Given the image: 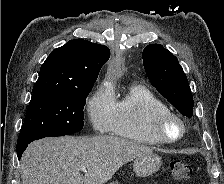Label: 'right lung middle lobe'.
<instances>
[{
  "instance_id": "obj_1",
  "label": "right lung middle lobe",
  "mask_w": 224,
  "mask_h": 184,
  "mask_svg": "<svg viewBox=\"0 0 224 184\" xmlns=\"http://www.w3.org/2000/svg\"><path fill=\"white\" fill-rule=\"evenodd\" d=\"M90 91L91 88L33 91L17 146L80 131L84 125L83 108Z\"/></svg>"
}]
</instances>
